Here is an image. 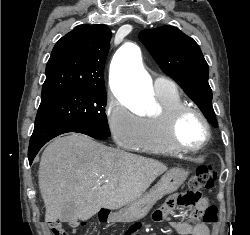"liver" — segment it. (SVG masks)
Instances as JSON below:
<instances>
[{"mask_svg": "<svg viewBox=\"0 0 250 235\" xmlns=\"http://www.w3.org/2000/svg\"><path fill=\"white\" fill-rule=\"evenodd\" d=\"M166 170L159 161L105 146L82 134L59 137L45 148L39 165L45 220H61L69 203L75 208L71 222L88 220L101 208L127 206Z\"/></svg>", "mask_w": 250, "mask_h": 235, "instance_id": "obj_1", "label": "liver"}]
</instances>
